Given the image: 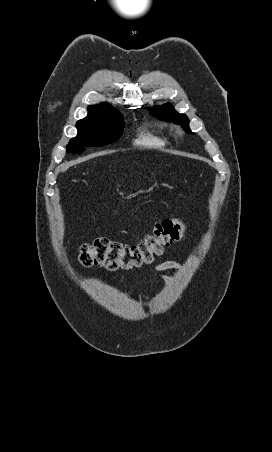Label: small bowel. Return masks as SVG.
Masks as SVG:
<instances>
[{"mask_svg": "<svg viewBox=\"0 0 272 452\" xmlns=\"http://www.w3.org/2000/svg\"><path fill=\"white\" fill-rule=\"evenodd\" d=\"M182 267V263L178 261H165L162 263H159L156 265L155 270L159 274L160 279L165 283H172L173 278L170 276L164 274L163 272L167 270H177ZM123 275L119 277V279H122Z\"/></svg>", "mask_w": 272, "mask_h": 452, "instance_id": "small-bowel-1", "label": "small bowel"}]
</instances>
